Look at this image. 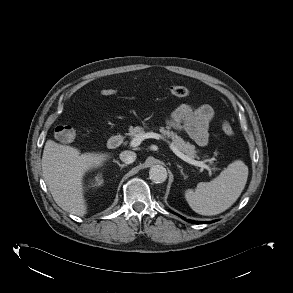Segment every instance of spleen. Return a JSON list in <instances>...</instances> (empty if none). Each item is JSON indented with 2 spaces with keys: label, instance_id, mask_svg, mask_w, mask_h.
I'll return each instance as SVG.
<instances>
[{
  "label": "spleen",
  "instance_id": "3e777b00",
  "mask_svg": "<svg viewBox=\"0 0 293 293\" xmlns=\"http://www.w3.org/2000/svg\"><path fill=\"white\" fill-rule=\"evenodd\" d=\"M248 178V167L236 160L210 182L198 183L188 189L185 198L193 211L200 215H217L230 208L241 195Z\"/></svg>",
  "mask_w": 293,
  "mask_h": 293
}]
</instances>
